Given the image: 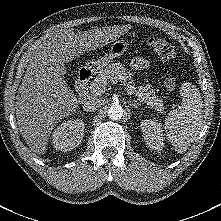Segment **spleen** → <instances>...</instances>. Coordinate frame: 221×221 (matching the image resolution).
<instances>
[{
    "instance_id": "spleen-1",
    "label": "spleen",
    "mask_w": 221,
    "mask_h": 221,
    "mask_svg": "<svg viewBox=\"0 0 221 221\" xmlns=\"http://www.w3.org/2000/svg\"><path fill=\"white\" fill-rule=\"evenodd\" d=\"M181 105L168 113L165 120L166 136L178 153L186 152L200 132L203 101L200 91L192 83L180 87Z\"/></svg>"
}]
</instances>
